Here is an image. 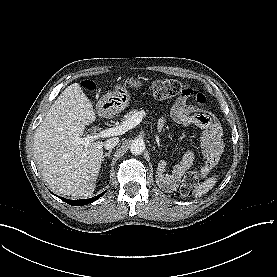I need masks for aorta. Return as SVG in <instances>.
Instances as JSON below:
<instances>
[{"label":"aorta","mask_w":277,"mask_h":277,"mask_svg":"<svg viewBox=\"0 0 277 277\" xmlns=\"http://www.w3.org/2000/svg\"><path fill=\"white\" fill-rule=\"evenodd\" d=\"M145 148V142L142 139H135L130 144V152L134 155L142 154Z\"/></svg>","instance_id":"762f6f07"}]
</instances>
